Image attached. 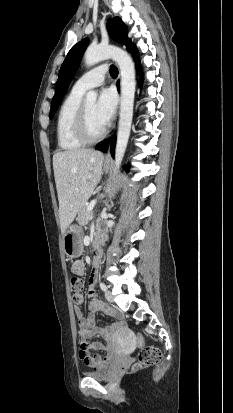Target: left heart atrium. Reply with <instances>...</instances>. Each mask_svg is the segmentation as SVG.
<instances>
[{
  "instance_id": "obj_1",
  "label": "left heart atrium",
  "mask_w": 233,
  "mask_h": 413,
  "mask_svg": "<svg viewBox=\"0 0 233 413\" xmlns=\"http://www.w3.org/2000/svg\"><path fill=\"white\" fill-rule=\"evenodd\" d=\"M117 97L112 89H103L96 103V115L99 121L106 126L115 114Z\"/></svg>"
}]
</instances>
